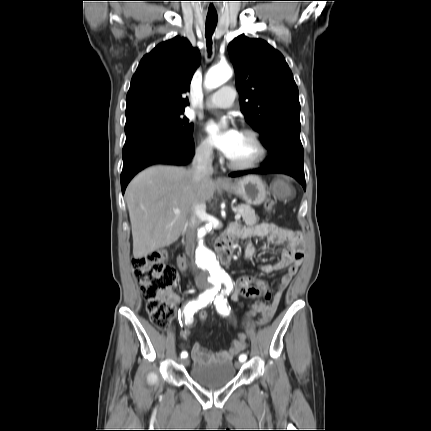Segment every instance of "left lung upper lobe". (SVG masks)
Listing matches in <instances>:
<instances>
[{
    "instance_id": "5c2ea615",
    "label": "left lung upper lobe",
    "mask_w": 431,
    "mask_h": 431,
    "mask_svg": "<svg viewBox=\"0 0 431 431\" xmlns=\"http://www.w3.org/2000/svg\"><path fill=\"white\" fill-rule=\"evenodd\" d=\"M241 111L271 153L281 145L302 148L299 92L283 55L261 39L241 35L228 45Z\"/></svg>"
}]
</instances>
